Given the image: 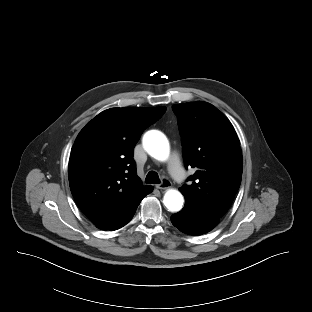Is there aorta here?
Masks as SVG:
<instances>
[{
	"label": "aorta",
	"instance_id": "1",
	"mask_svg": "<svg viewBox=\"0 0 312 312\" xmlns=\"http://www.w3.org/2000/svg\"><path fill=\"white\" fill-rule=\"evenodd\" d=\"M143 145L149 155L157 160H165L169 155V142L166 136L156 130L148 131L143 138ZM183 196L177 190H168L163 199V203L169 211L177 212L183 206Z\"/></svg>",
	"mask_w": 312,
	"mask_h": 312
}]
</instances>
